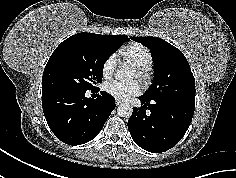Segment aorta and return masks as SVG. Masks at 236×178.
Masks as SVG:
<instances>
[{
    "label": "aorta",
    "instance_id": "obj_1",
    "mask_svg": "<svg viewBox=\"0 0 236 178\" xmlns=\"http://www.w3.org/2000/svg\"><path fill=\"white\" fill-rule=\"evenodd\" d=\"M117 79H123L128 76V68L126 66H120L116 72ZM133 109L129 104H120L117 108V114L123 118H129L132 115Z\"/></svg>",
    "mask_w": 236,
    "mask_h": 178
}]
</instances>
